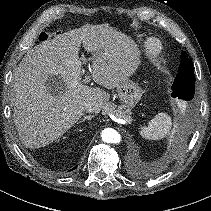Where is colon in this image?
Listing matches in <instances>:
<instances>
[{"label": "colon", "instance_id": "1", "mask_svg": "<svg viewBox=\"0 0 211 211\" xmlns=\"http://www.w3.org/2000/svg\"><path fill=\"white\" fill-rule=\"evenodd\" d=\"M49 38H50V33H48V32H42V33H40V35L38 37L39 41H41V42H45Z\"/></svg>", "mask_w": 211, "mask_h": 211}]
</instances>
